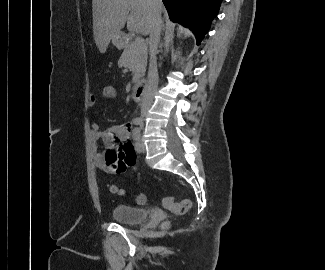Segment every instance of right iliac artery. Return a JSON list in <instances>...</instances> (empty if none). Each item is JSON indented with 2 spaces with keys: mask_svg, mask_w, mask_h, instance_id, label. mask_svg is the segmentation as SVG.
Returning a JSON list of instances; mask_svg holds the SVG:
<instances>
[{
  "mask_svg": "<svg viewBox=\"0 0 325 270\" xmlns=\"http://www.w3.org/2000/svg\"><path fill=\"white\" fill-rule=\"evenodd\" d=\"M142 122V119L140 117H136L134 120H133V124L134 125H139L141 124Z\"/></svg>",
  "mask_w": 325,
  "mask_h": 270,
  "instance_id": "1",
  "label": "right iliac artery"
}]
</instances>
